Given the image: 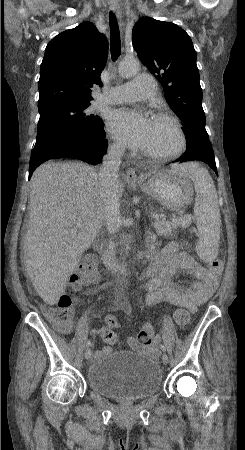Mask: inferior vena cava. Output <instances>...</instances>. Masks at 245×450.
Returning <instances> with one entry per match:
<instances>
[{
	"mask_svg": "<svg viewBox=\"0 0 245 450\" xmlns=\"http://www.w3.org/2000/svg\"><path fill=\"white\" fill-rule=\"evenodd\" d=\"M124 151L125 147L120 144L109 147L98 173L100 198L104 207L107 231L110 234L118 232L121 225L118 171Z\"/></svg>",
	"mask_w": 245,
	"mask_h": 450,
	"instance_id": "inferior-vena-cava-1",
	"label": "inferior vena cava"
}]
</instances>
